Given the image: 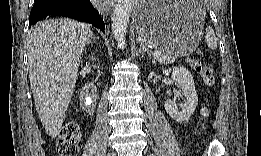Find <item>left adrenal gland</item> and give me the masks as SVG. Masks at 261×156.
<instances>
[{
    "mask_svg": "<svg viewBox=\"0 0 261 156\" xmlns=\"http://www.w3.org/2000/svg\"><path fill=\"white\" fill-rule=\"evenodd\" d=\"M138 43H139V53L140 54H147L148 57L151 59V52L149 51V49H147V47L144 45V41L142 39H138Z\"/></svg>",
    "mask_w": 261,
    "mask_h": 156,
    "instance_id": "obj_1",
    "label": "left adrenal gland"
}]
</instances>
